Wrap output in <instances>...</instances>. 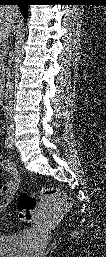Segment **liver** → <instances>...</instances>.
<instances>
[{
	"label": "liver",
	"instance_id": "liver-1",
	"mask_svg": "<svg viewBox=\"0 0 106 257\" xmlns=\"http://www.w3.org/2000/svg\"><path fill=\"white\" fill-rule=\"evenodd\" d=\"M19 17V12L14 6L0 7V37L5 40L14 28L15 18Z\"/></svg>",
	"mask_w": 106,
	"mask_h": 257
}]
</instances>
